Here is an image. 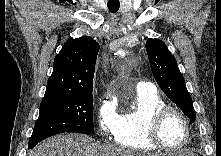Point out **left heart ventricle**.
I'll use <instances>...</instances> for the list:
<instances>
[{
	"instance_id": "left-heart-ventricle-1",
	"label": "left heart ventricle",
	"mask_w": 221,
	"mask_h": 156,
	"mask_svg": "<svg viewBox=\"0 0 221 156\" xmlns=\"http://www.w3.org/2000/svg\"><path fill=\"white\" fill-rule=\"evenodd\" d=\"M186 136V128L183 120L176 113H169L160 128L162 142L169 147H177L182 144Z\"/></svg>"
}]
</instances>
